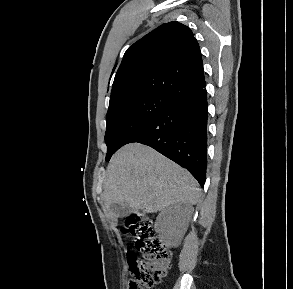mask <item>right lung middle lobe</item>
<instances>
[{"label":"right lung middle lobe","instance_id":"obj_1","mask_svg":"<svg viewBox=\"0 0 293 289\" xmlns=\"http://www.w3.org/2000/svg\"><path fill=\"white\" fill-rule=\"evenodd\" d=\"M172 103L161 95H140L110 105L105 134L106 161H109L117 149L127 144L136 132Z\"/></svg>","mask_w":293,"mask_h":289}]
</instances>
